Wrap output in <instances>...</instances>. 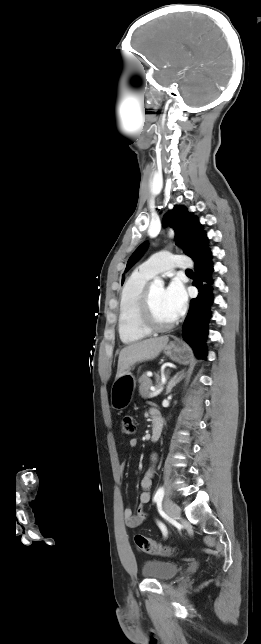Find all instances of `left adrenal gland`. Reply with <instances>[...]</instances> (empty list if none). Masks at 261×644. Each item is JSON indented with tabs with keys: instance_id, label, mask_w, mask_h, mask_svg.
<instances>
[{
	"instance_id": "left-adrenal-gland-1",
	"label": "left adrenal gland",
	"mask_w": 261,
	"mask_h": 644,
	"mask_svg": "<svg viewBox=\"0 0 261 644\" xmlns=\"http://www.w3.org/2000/svg\"><path fill=\"white\" fill-rule=\"evenodd\" d=\"M186 377L184 370L177 372L169 381L166 388V395L169 394L174 386H176L180 381Z\"/></svg>"
}]
</instances>
